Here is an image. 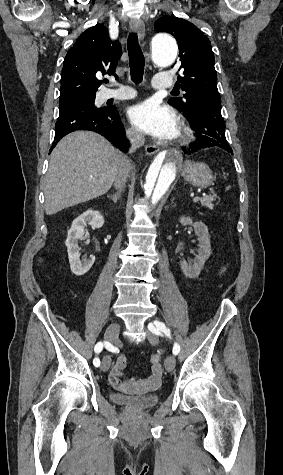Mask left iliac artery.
I'll use <instances>...</instances> for the list:
<instances>
[{"mask_svg": "<svg viewBox=\"0 0 283 475\" xmlns=\"http://www.w3.org/2000/svg\"><path fill=\"white\" fill-rule=\"evenodd\" d=\"M154 324H155V326L151 323L148 325V328H149L150 331H152L156 334H159V330H160V331L164 332L167 336H170V330L165 326L164 323L159 322V321H154ZM179 352H180L179 344L174 343L173 354L177 355Z\"/></svg>", "mask_w": 283, "mask_h": 475, "instance_id": "left-iliac-artery-1", "label": "left iliac artery"}]
</instances>
